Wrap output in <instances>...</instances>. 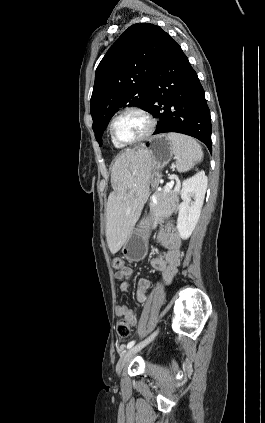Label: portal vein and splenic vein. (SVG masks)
Listing matches in <instances>:
<instances>
[{
  "instance_id": "18ae733b",
  "label": "portal vein and splenic vein",
  "mask_w": 265,
  "mask_h": 423,
  "mask_svg": "<svg viewBox=\"0 0 265 423\" xmlns=\"http://www.w3.org/2000/svg\"><path fill=\"white\" fill-rule=\"evenodd\" d=\"M164 190L169 191V190H170V185H166V186L164 187ZM177 190H178V188H177V187H175L174 192H177Z\"/></svg>"
}]
</instances>
